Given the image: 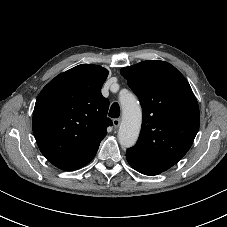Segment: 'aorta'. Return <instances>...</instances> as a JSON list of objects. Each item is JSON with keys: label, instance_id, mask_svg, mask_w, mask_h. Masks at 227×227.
Instances as JSON below:
<instances>
[{"label": "aorta", "instance_id": "aorta-1", "mask_svg": "<svg viewBox=\"0 0 227 227\" xmlns=\"http://www.w3.org/2000/svg\"><path fill=\"white\" fill-rule=\"evenodd\" d=\"M122 122L118 131L119 143L126 148L132 147L140 133L142 110L136 97L130 93L121 96Z\"/></svg>", "mask_w": 227, "mask_h": 227}]
</instances>
